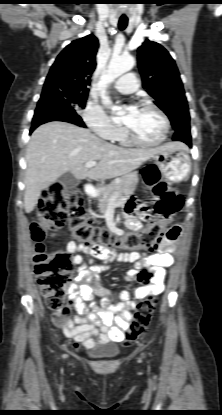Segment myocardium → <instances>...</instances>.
Wrapping results in <instances>:
<instances>
[{"label": "myocardium", "mask_w": 222, "mask_h": 415, "mask_svg": "<svg viewBox=\"0 0 222 415\" xmlns=\"http://www.w3.org/2000/svg\"><path fill=\"white\" fill-rule=\"evenodd\" d=\"M139 108H150L158 113V115L161 117L163 124H164L163 135L161 136L160 139L156 141H145L141 139L140 137H138L131 128L123 124V131L125 135L132 143L139 145V146L154 147V146H159L163 144L167 140L169 132H170V128H171L170 119L167 116V114L161 108H159L156 104L148 100L141 101L139 104Z\"/></svg>", "instance_id": "1"}]
</instances>
